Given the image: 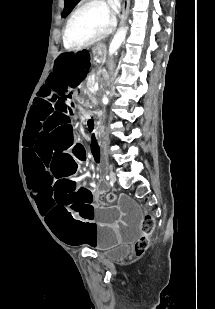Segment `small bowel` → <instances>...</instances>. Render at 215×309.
<instances>
[{
    "label": "small bowel",
    "mask_w": 215,
    "mask_h": 309,
    "mask_svg": "<svg viewBox=\"0 0 215 309\" xmlns=\"http://www.w3.org/2000/svg\"><path fill=\"white\" fill-rule=\"evenodd\" d=\"M89 129L92 130V128H89ZM93 146L99 150V144L97 143L95 138H93ZM105 189H106L105 185H99L98 188L96 190H94V195L97 196V195L103 193L105 191Z\"/></svg>",
    "instance_id": "obj_1"
}]
</instances>
